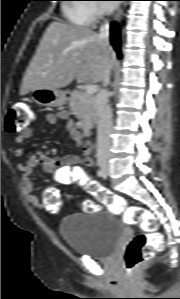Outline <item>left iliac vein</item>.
I'll use <instances>...</instances> for the list:
<instances>
[{
    "mask_svg": "<svg viewBox=\"0 0 180 299\" xmlns=\"http://www.w3.org/2000/svg\"><path fill=\"white\" fill-rule=\"evenodd\" d=\"M106 173H108V167H106Z\"/></svg>",
    "mask_w": 180,
    "mask_h": 299,
    "instance_id": "1",
    "label": "left iliac vein"
}]
</instances>
